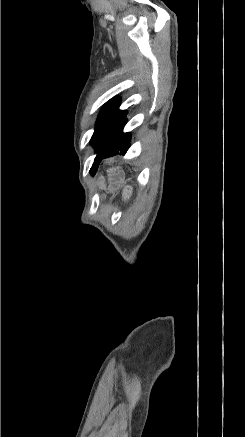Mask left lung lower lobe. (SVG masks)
Returning <instances> with one entry per match:
<instances>
[{"mask_svg":"<svg viewBox=\"0 0 245 437\" xmlns=\"http://www.w3.org/2000/svg\"><path fill=\"white\" fill-rule=\"evenodd\" d=\"M127 115V114H126ZM126 115L124 118L116 125L108 139L106 140L104 146L102 147L100 153L97 155L93 163V169L98 167L102 159L117 155L125 154L130 147L131 134L123 133V127L127 121Z\"/></svg>","mask_w":245,"mask_h":437,"instance_id":"0a47b994","label":"left lung lower lobe"}]
</instances>
